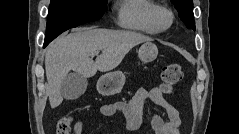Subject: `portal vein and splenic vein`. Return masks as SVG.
<instances>
[{
  "instance_id": "portal-vein-and-splenic-vein-1",
  "label": "portal vein and splenic vein",
  "mask_w": 239,
  "mask_h": 134,
  "mask_svg": "<svg viewBox=\"0 0 239 134\" xmlns=\"http://www.w3.org/2000/svg\"><path fill=\"white\" fill-rule=\"evenodd\" d=\"M98 53V51H95L93 54H97Z\"/></svg>"
}]
</instances>
